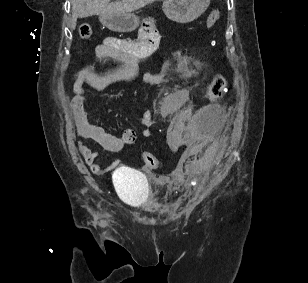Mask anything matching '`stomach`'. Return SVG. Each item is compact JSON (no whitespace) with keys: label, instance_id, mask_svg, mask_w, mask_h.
I'll list each match as a JSON object with an SVG mask.
<instances>
[{"label":"stomach","instance_id":"0dacf381","mask_svg":"<svg viewBox=\"0 0 308 283\" xmlns=\"http://www.w3.org/2000/svg\"><path fill=\"white\" fill-rule=\"evenodd\" d=\"M210 0H165L163 12L178 23H189L205 12ZM100 22L115 32H131L139 26V18L132 14H102Z\"/></svg>","mask_w":308,"mask_h":283}]
</instances>
